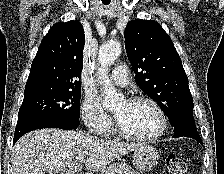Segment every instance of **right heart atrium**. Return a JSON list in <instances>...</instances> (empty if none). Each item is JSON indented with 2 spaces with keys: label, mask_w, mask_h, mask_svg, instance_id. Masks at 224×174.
Masks as SVG:
<instances>
[{
  "label": "right heart atrium",
  "mask_w": 224,
  "mask_h": 174,
  "mask_svg": "<svg viewBox=\"0 0 224 174\" xmlns=\"http://www.w3.org/2000/svg\"><path fill=\"white\" fill-rule=\"evenodd\" d=\"M82 118L91 131L101 136L108 135L113 129L111 117L102 107L99 98L93 94H88L84 98Z\"/></svg>",
  "instance_id": "obj_1"
}]
</instances>
